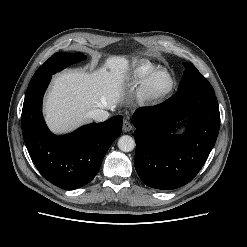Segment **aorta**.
<instances>
[{"mask_svg":"<svg viewBox=\"0 0 247 247\" xmlns=\"http://www.w3.org/2000/svg\"><path fill=\"white\" fill-rule=\"evenodd\" d=\"M118 148L123 152H130L135 148V140L129 135H123L118 140Z\"/></svg>","mask_w":247,"mask_h":247,"instance_id":"aorta-1","label":"aorta"}]
</instances>
